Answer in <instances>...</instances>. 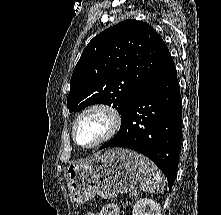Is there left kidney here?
Returning <instances> with one entry per match:
<instances>
[{"label": "left kidney", "mask_w": 221, "mask_h": 215, "mask_svg": "<svg viewBox=\"0 0 221 215\" xmlns=\"http://www.w3.org/2000/svg\"><path fill=\"white\" fill-rule=\"evenodd\" d=\"M132 215H161V207L154 200L143 198L133 206Z\"/></svg>", "instance_id": "obj_1"}]
</instances>
